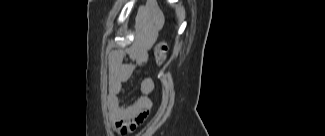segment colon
Returning a JSON list of instances; mask_svg holds the SVG:
<instances>
[{
  "mask_svg": "<svg viewBox=\"0 0 325 136\" xmlns=\"http://www.w3.org/2000/svg\"><path fill=\"white\" fill-rule=\"evenodd\" d=\"M167 50H168V44L166 41H162L156 46L155 53H156V59H157L158 63L163 62V60L165 59Z\"/></svg>",
  "mask_w": 325,
  "mask_h": 136,
  "instance_id": "1",
  "label": "colon"
}]
</instances>
